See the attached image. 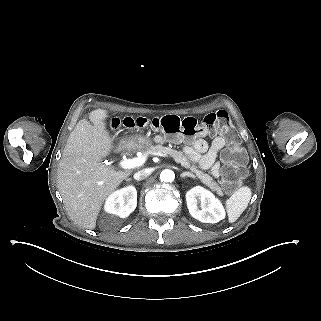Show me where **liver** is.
I'll return each instance as SVG.
<instances>
[{
	"label": "liver",
	"instance_id": "obj_1",
	"mask_svg": "<svg viewBox=\"0 0 321 321\" xmlns=\"http://www.w3.org/2000/svg\"><path fill=\"white\" fill-rule=\"evenodd\" d=\"M107 111L90 112L71 132L57 170V184L66 211L79 226L94 229L106 198L131 171H115L103 164L113 140L105 128Z\"/></svg>",
	"mask_w": 321,
	"mask_h": 321
}]
</instances>
